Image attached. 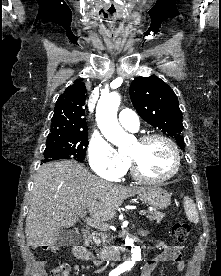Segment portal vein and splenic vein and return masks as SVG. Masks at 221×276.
Listing matches in <instances>:
<instances>
[{"mask_svg": "<svg viewBox=\"0 0 221 276\" xmlns=\"http://www.w3.org/2000/svg\"><path fill=\"white\" fill-rule=\"evenodd\" d=\"M146 214V212L144 211V210H140L139 211V215H145ZM79 216L81 217V218H85V216H86V211H82L81 213H79ZM85 222L87 223V224H89V225H91V226H93V227H96V226H99V224L100 223H95L94 221H92L91 219H85Z\"/></svg>", "mask_w": 221, "mask_h": 276, "instance_id": "1", "label": "portal vein and splenic vein"}]
</instances>
